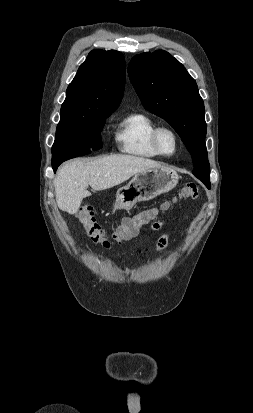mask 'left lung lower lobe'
Returning a JSON list of instances; mask_svg holds the SVG:
<instances>
[{
	"label": "left lung lower lobe",
	"mask_w": 253,
	"mask_h": 413,
	"mask_svg": "<svg viewBox=\"0 0 253 413\" xmlns=\"http://www.w3.org/2000/svg\"><path fill=\"white\" fill-rule=\"evenodd\" d=\"M203 183L206 185V187H207L208 189L211 188L210 181H204Z\"/></svg>",
	"instance_id": "left-lung-lower-lobe-1"
}]
</instances>
